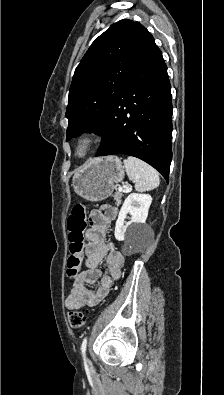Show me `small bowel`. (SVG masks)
Masks as SVG:
<instances>
[{"instance_id": "small-bowel-1", "label": "small bowel", "mask_w": 224, "mask_h": 395, "mask_svg": "<svg viewBox=\"0 0 224 395\" xmlns=\"http://www.w3.org/2000/svg\"><path fill=\"white\" fill-rule=\"evenodd\" d=\"M117 212V208L113 206L91 212L90 228L86 232L87 245L84 259L86 268L74 280L65 300L67 309H78L84 305L96 306L106 298L114 281L120 277L124 257L112 242H107L105 239L106 232L116 218ZM103 260L108 274H103L99 267Z\"/></svg>"}]
</instances>
